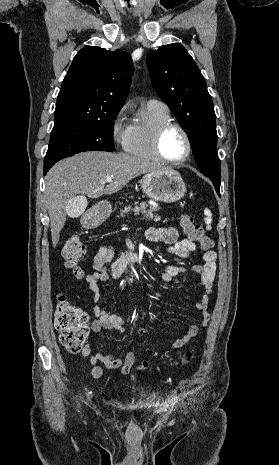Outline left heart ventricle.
Listing matches in <instances>:
<instances>
[{
  "label": "left heart ventricle",
  "mask_w": 279,
  "mask_h": 465,
  "mask_svg": "<svg viewBox=\"0 0 279 465\" xmlns=\"http://www.w3.org/2000/svg\"><path fill=\"white\" fill-rule=\"evenodd\" d=\"M186 142L182 133L172 128L168 130L162 140V150L164 155L172 160L182 158L186 153Z\"/></svg>",
  "instance_id": "left-heart-ventricle-1"
}]
</instances>
